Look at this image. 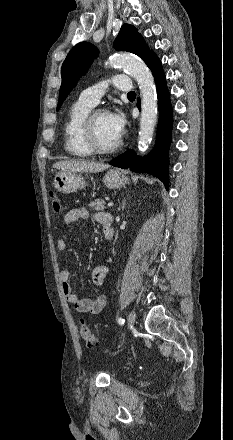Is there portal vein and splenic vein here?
Segmentation results:
<instances>
[{
  "label": "portal vein and splenic vein",
  "mask_w": 233,
  "mask_h": 440,
  "mask_svg": "<svg viewBox=\"0 0 233 440\" xmlns=\"http://www.w3.org/2000/svg\"><path fill=\"white\" fill-rule=\"evenodd\" d=\"M107 206H108V207H112V206H113V203H112V202H109V203L107 204Z\"/></svg>",
  "instance_id": "obj_1"
}]
</instances>
